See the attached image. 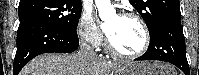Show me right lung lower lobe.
Segmentation results:
<instances>
[{
  "label": "right lung lower lobe",
  "mask_w": 199,
  "mask_h": 75,
  "mask_svg": "<svg viewBox=\"0 0 199 75\" xmlns=\"http://www.w3.org/2000/svg\"><path fill=\"white\" fill-rule=\"evenodd\" d=\"M79 47L77 32L60 31L49 24L29 21L19 25L17 31V52L13 75L34 57L43 53H71Z\"/></svg>",
  "instance_id": "98d812e1"
}]
</instances>
